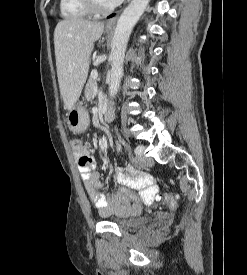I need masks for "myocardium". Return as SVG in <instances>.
<instances>
[{
    "instance_id": "myocardium-1",
    "label": "myocardium",
    "mask_w": 247,
    "mask_h": 275,
    "mask_svg": "<svg viewBox=\"0 0 247 275\" xmlns=\"http://www.w3.org/2000/svg\"><path fill=\"white\" fill-rule=\"evenodd\" d=\"M84 6L89 10V12L97 15H103L109 13L114 10L116 5H112L111 7H101L96 0H81Z\"/></svg>"
}]
</instances>
